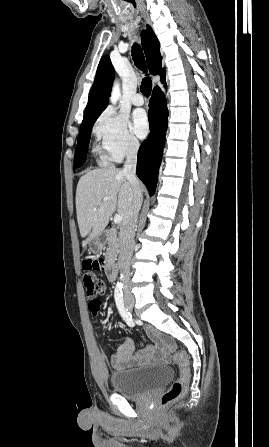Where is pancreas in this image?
I'll list each match as a JSON object with an SVG mask.
<instances>
[{
	"instance_id": "1",
	"label": "pancreas",
	"mask_w": 269,
	"mask_h": 447,
	"mask_svg": "<svg viewBox=\"0 0 269 447\" xmlns=\"http://www.w3.org/2000/svg\"><path fill=\"white\" fill-rule=\"evenodd\" d=\"M118 251L119 237H117L116 233H110L108 237V247L105 253L106 267H110V265L114 263L115 259H117Z\"/></svg>"
}]
</instances>
